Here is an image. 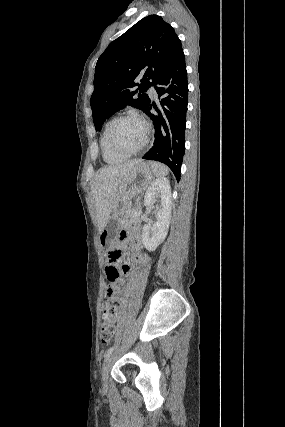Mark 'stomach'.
<instances>
[{"label": "stomach", "mask_w": 285, "mask_h": 427, "mask_svg": "<svg viewBox=\"0 0 285 427\" xmlns=\"http://www.w3.org/2000/svg\"><path fill=\"white\" fill-rule=\"evenodd\" d=\"M154 178L152 168L148 163L136 164L128 174L116 197L111 216L99 234V243L102 248H108L120 228V222L126 215V210L131 207L130 200L143 193Z\"/></svg>", "instance_id": "obj_1"}]
</instances>
